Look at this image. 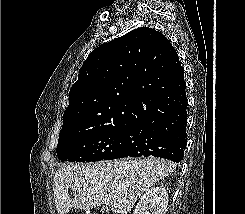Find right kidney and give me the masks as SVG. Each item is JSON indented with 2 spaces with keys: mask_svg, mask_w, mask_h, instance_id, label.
Returning a JSON list of instances; mask_svg holds the SVG:
<instances>
[{
  "mask_svg": "<svg viewBox=\"0 0 245 214\" xmlns=\"http://www.w3.org/2000/svg\"><path fill=\"white\" fill-rule=\"evenodd\" d=\"M168 193L164 187L147 189L138 201L133 214H166Z\"/></svg>",
  "mask_w": 245,
  "mask_h": 214,
  "instance_id": "1",
  "label": "right kidney"
}]
</instances>
